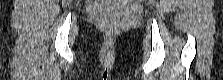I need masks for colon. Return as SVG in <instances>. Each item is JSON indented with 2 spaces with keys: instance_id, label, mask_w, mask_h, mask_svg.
Segmentation results:
<instances>
[{
  "instance_id": "1",
  "label": "colon",
  "mask_w": 223,
  "mask_h": 80,
  "mask_svg": "<svg viewBox=\"0 0 223 80\" xmlns=\"http://www.w3.org/2000/svg\"><path fill=\"white\" fill-rule=\"evenodd\" d=\"M102 28H103L104 32L108 35L115 34L117 31V28L114 25L109 24V23L103 24Z\"/></svg>"
}]
</instances>
